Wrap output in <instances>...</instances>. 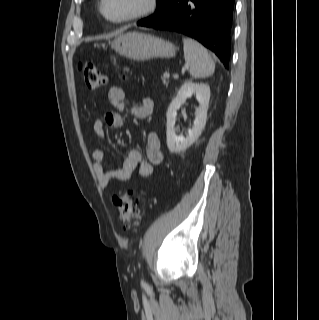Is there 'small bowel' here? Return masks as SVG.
<instances>
[{
  "label": "small bowel",
  "mask_w": 319,
  "mask_h": 320,
  "mask_svg": "<svg viewBox=\"0 0 319 320\" xmlns=\"http://www.w3.org/2000/svg\"><path fill=\"white\" fill-rule=\"evenodd\" d=\"M108 97L110 103L116 108V111L107 112L104 120H96L93 123V132L99 139H106L108 137L106 127L116 129L123 126L124 119L122 114L124 112H128L139 119L148 118L152 114V99L145 98L140 105L128 106L125 101V92L119 86H112ZM108 158V153L102 149L94 150L91 154L93 171L101 188H108L113 180L126 182L136 169L141 177L148 178L152 175L154 167L162 160L159 137L156 133L150 132L147 136L145 154L143 155L138 149L129 150L119 168L105 170L103 163Z\"/></svg>",
  "instance_id": "1"
}]
</instances>
